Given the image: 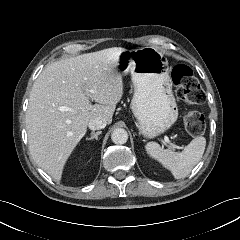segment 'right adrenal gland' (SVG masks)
I'll list each match as a JSON object with an SVG mask.
<instances>
[{
    "label": "right adrenal gland",
    "mask_w": 240,
    "mask_h": 240,
    "mask_svg": "<svg viewBox=\"0 0 240 240\" xmlns=\"http://www.w3.org/2000/svg\"><path fill=\"white\" fill-rule=\"evenodd\" d=\"M101 133H102L101 131L91 132V137L90 138H86V140H93V139L98 140V135H100Z\"/></svg>",
    "instance_id": "2a0ac1e0"
}]
</instances>
